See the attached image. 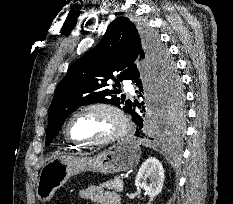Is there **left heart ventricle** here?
Masks as SVG:
<instances>
[{
  "mask_svg": "<svg viewBox=\"0 0 233 204\" xmlns=\"http://www.w3.org/2000/svg\"><path fill=\"white\" fill-rule=\"evenodd\" d=\"M117 128L115 118L105 111H89L78 115L70 124V133L81 140H100L111 135Z\"/></svg>",
  "mask_w": 233,
  "mask_h": 204,
  "instance_id": "1",
  "label": "left heart ventricle"
}]
</instances>
